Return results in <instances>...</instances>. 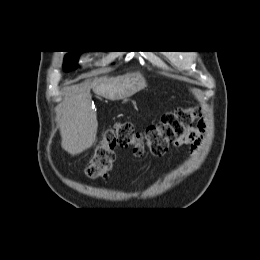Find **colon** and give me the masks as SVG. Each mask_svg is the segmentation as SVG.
I'll use <instances>...</instances> for the list:
<instances>
[{
	"label": "colon",
	"instance_id": "colon-1",
	"mask_svg": "<svg viewBox=\"0 0 260 260\" xmlns=\"http://www.w3.org/2000/svg\"><path fill=\"white\" fill-rule=\"evenodd\" d=\"M200 116L198 108H179L165 113L158 123L148 126L144 131L136 130L130 122H116L102 131L86 167L87 176L92 179L105 178L113 164L117 147H131L136 156H141L145 150L154 156H163Z\"/></svg>",
	"mask_w": 260,
	"mask_h": 260
}]
</instances>
